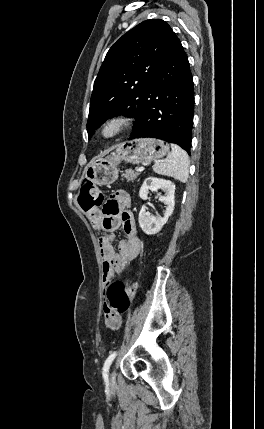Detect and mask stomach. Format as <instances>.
Returning <instances> with one entry per match:
<instances>
[{
  "mask_svg": "<svg viewBox=\"0 0 264 429\" xmlns=\"http://www.w3.org/2000/svg\"><path fill=\"white\" fill-rule=\"evenodd\" d=\"M169 153V145L155 138H139L116 146L106 157L94 159L85 170L86 179L97 185H109L118 178L121 161L142 163L159 160Z\"/></svg>",
  "mask_w": 264,
  "mask_h": 429,
  "instance_id": "obj_1",
  "label": "stomach"
}]
</instances>
